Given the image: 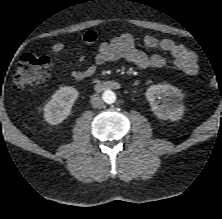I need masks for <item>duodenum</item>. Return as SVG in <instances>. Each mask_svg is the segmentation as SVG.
<instances>
[{"instance_id":"1","label":"duodenum","mask_w":222,"mask_h":219,"mask_svg":"<svg viewBox=\"0 0 222 219\" xmlns=\"http://www.w3.org/2000/svg\"><path fill=\"white\" fill-rule=\"evenodd\" d=\"M95 88L98 90H107V89H118L120 88V84L116 81H106L100 84L95 85Z\"/></svg>"}]
</instances>
